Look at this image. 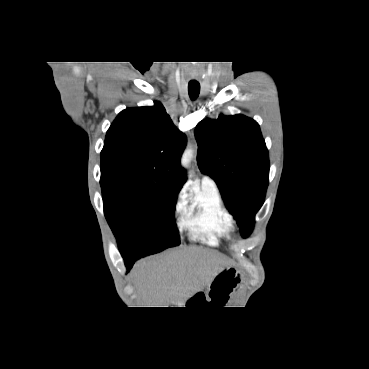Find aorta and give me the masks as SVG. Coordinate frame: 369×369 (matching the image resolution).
Returning <instances> with one entry per match:
<instances>
[{
	"instance_id": "762f6f07",
	"label": "aorta",
	"mask_w": 369,
	"mask_h": 369,
	"mask_svg": "<svg viewBox=\"0 0 369 369\" xmlns=\"http://www.w3.org/2000/svg\"><path fill=\"white\" fill-rule=\"evenodd\" d=\"M192 156H193V150L191 149V147L188 146L186 150L184 151V154L181 160V164L184 168H187L189 166Z\"/></svg>"
}]
</instances>
